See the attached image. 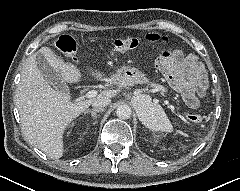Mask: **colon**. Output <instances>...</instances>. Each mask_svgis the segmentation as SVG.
I'll return each mask as SVG.
<instances>
[{
  "mask_svg": "<svg viewBox=\"0 0 240 191\" xmlns=\"http://www.w3.org/2000/svg\"><path fill=\"white\" fill-rule=\"evenodd\" d=\"M146 40L149 42H156L159 40L166 41V39L159 34L156 33H150L146 35ZM141 43V39L137 37H124V38H118L116 39L111 49L113 52H125L130 51L139 46ZM53 46L58 49L60 52H62L67 57H70L72 59L75 58L76 54V43L74 39L69 35H62L60 36L54 43ZM170 56V52L165 51L161 54V57L158 61V66L164 70L166 68V62ZM187 120L192 124H200L203 120V117L201 114L198 113H191L187 115Z\"/></svg>",
  "mask_w": 240,
  "mask_h": 191,
  "instance_id": "obj_1",
  "label": "colon"
}]
</instances>
